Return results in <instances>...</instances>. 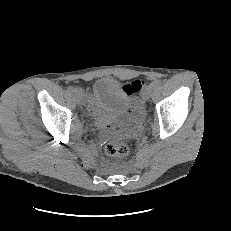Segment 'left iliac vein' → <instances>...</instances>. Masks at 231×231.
I'll list each match as a JSON object with an SVG mask.
<instances>
[{"mask_svg": "<svg viewBox=\"0 0 231 231\" xmlns=\"http://www.w3.org/2000/svg\"><path fill=\"white\" fill-rule=\"evenodd\" d=\"M153 88L151 85L146 86V88L143 91V99L148 101L150 97L152 96Z\"/></svg>", "mask_w": 231, "mask_h": 231, "instance_id": "4c4485c4", "label": "left iliac vein"}]
</instances>
